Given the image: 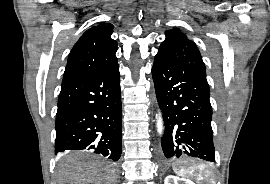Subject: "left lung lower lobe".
I'll return each instance as SVG.
<instances>
[{"mask_svg":"<svg viewBox=\"0 0 270 184\" xmlns=\"http://www.w3.org/2000/svg\"><path fill=\"white\" fill-rule=\"evenodd\" d=\"M152 76L165 126L161 144L166 161L189 156L215 162L208 83L182 63L158 54Z\"/></svg>","mask_w":270,"mask_h":184,"instance_id":"left-lung-lower-lobe-1","label":"left lung lower lobe"}]
</instances>
